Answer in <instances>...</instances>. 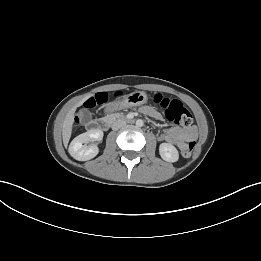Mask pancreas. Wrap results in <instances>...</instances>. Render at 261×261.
Masks as SVG:
<instances>
[{
    "mask_svg": "<svg viewBox=\"0 0 261 261\" xmlns=\"http://www.w3.org/2000/svg\"><path fill=\"white\" fill-rule=\"evenodd\" d=\"M112 118H113V116H108V117H107V119H112Z\"/></svg>",
    "mask_w": 261,
    "mask_h": 261,
    "instance_id": "1",
    "label": "pancreas"
}]
</instances>
